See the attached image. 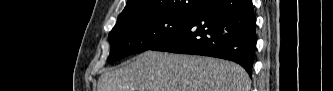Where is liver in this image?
I'll return each instance as SVG.
<instances>
[{
    "label": "liver",
    "mask_w": 333,
    "mask_h": 91,
    "mask_svg": "<svg viewBox=\"0 0 333 91\" xmlns=\"http://www.w3.org/2000/svg\"><path fill=\"white\" fill-rule=\"evenodd\" d=\"M238 64L216 58L145 51L104 72L97 91H249Z\"/></svg>",
    "instance_id": "obj_1"
}]
</instances>
